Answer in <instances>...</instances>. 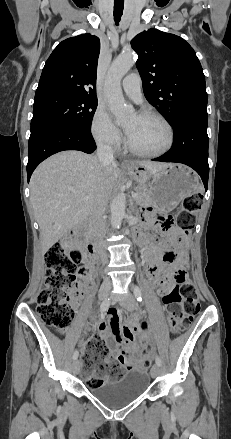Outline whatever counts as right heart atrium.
<instances>
[{"label":"right heart atrium","instance_id":"d8ad5b80","mask_svg":"<svg viewBox=\"0 0 231 439\" xmlns=\"http://www.w3.org/2000/svg\"><path fill=\"white\" fill-rule=\"evenodd\" d=\"M91 134L95 142L108 149H117L122 141L119 128L112 122L105 108H96L92 122Z\"/></svg>","mask_w":231,"mask_h":439}]
</instances>
